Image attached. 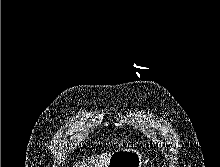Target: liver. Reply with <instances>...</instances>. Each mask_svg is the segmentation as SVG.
Here are the masks:
<instances>
[{"mask_svg": "<svg viewBox=\"0 0 220 167\" xmlns=\"http://www.w3.org/2000/svg\"><path fill=\"white\" fill-rule=\"evenodd\" d=\"M111 154L103 153L76 163L73 167H107Z\"/></svg>", "mask_w": 220, "mask_h": 167, "instance_id": "liver-1", "label": "liver"}]
</instances>
